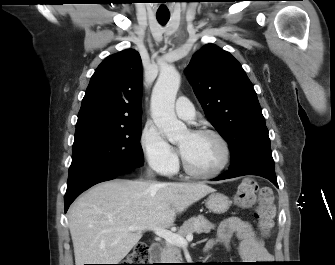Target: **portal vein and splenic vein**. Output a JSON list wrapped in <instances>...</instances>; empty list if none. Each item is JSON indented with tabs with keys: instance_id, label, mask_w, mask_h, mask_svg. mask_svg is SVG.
<instances>
[{
	"instance_id": "portal-vein-and-splenic-vein-1",
	"label": "portal vein and splenic vein",
	"mask_w": 335,
	"mask_h": 265,
	"mask_svg": "<svg viewBox=\"0 0 335 265\" xmlns=\"http://www.w3.org/2000/svg\"><path fill=\"white\" fill-rule=\"evenodd\" d=\"M139 228L137 226H130L126 229L123 230H127V231H135L138 230ZM154 231V233L159 236L162 237L166 240V242H169L171 244H175L178 246H186L188 244V242H191L193 240V235L192 234H188L186 236V238H184L183 236L173 233L167 229L164 228H160V227H155L152 229Z\"/></svg>"
}]
</instances>
